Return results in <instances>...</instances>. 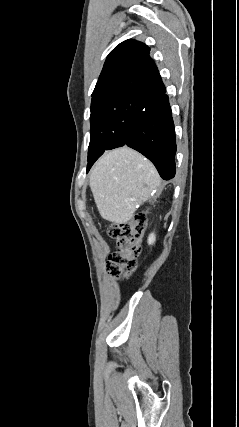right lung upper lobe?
I'll return each mask as SVG.
<instances>
[{"label": "right lung upper lobe", "mask_w": 239, "mask_h": 427, "mask_svg": "<svg viewBox=\"0 0 239 427\" xmlns=\"http://www.w3.org/2000/svg\"><path fill=\"white\" fill-rule=\"evenodd\" d=\"M149 51L148 46L136 40L116 46L105 61L91 104L129 96L146 99L166 91Z\"/></svg>", "instance_id": "right-lung-upper-lobe-1"}]
</instances>
